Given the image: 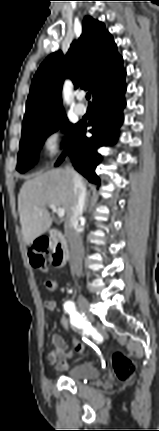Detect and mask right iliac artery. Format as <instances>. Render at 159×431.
I'll return each mask as SVG.
<instances>
[{
  "mask_svg": "<svg viewBox=\"0 0 159 431\" xmlns=\"http://www.w3.org/2000/svg\"><path fill=\"white\" fill-rule=\"evenodd\" d=\"M65 311L70 315L71 323L77 328H82L84 332L89 335L93 332L90 324L78 313L73 301L64 303Z\"/></svg>",
  "mask_w": 159,
  "mask_h": 431,
  "instance_id": "right-iliac-artery-1",
  "label": "right iliac artery"
}]
</instances>
